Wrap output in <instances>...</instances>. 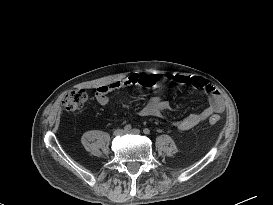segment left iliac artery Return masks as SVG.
I'll use <instances>...</instances> for the list:
<instances>
[{"label":"left iliac artery","mask_w":273,"mask_h":205,"mask_svg":"<svg viewBox=\"0 0 273 205\" xmlns=\"http://www.w3.org/2000/svg\"><path fill=\"white\" fill-rule=\"evenodd\" d=\"M143 132H144V134H146V135H149V134H150V130H149L148 128L143 129Z\"/></svg>","instance_id":"left-iliac-artery-1"}]
</instances>
